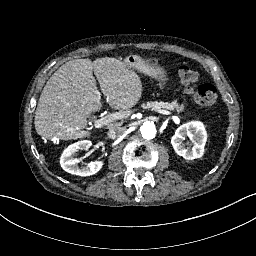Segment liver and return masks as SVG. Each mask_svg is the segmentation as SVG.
<instances>
[{"mask_svg":"<svg viewBox=\"0 0 256 256\" xmlns=\"http://www.w3.org/2000/svg\"><path fill=\"white\" fill-rule=\"evenodd\" d=\"M93 72L109 106L129 110L139 101L142 84L125 62L111 57L75 59L62 65L47 81L35 111L38 135L60 140L90 136L87 118L101 109V95ZM122 122L107 124V129Z\"/></svg>","mask_w":256,"mask_h":256,"instance_id":"1","label":"liver"}]
</instances>
